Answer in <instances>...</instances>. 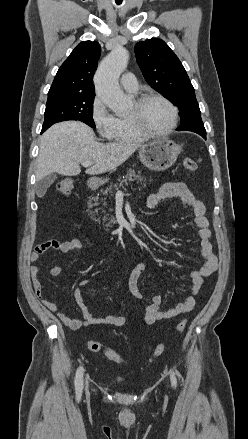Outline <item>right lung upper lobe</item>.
<instances>
[{"mask_svg": "<svg viewBox=\"0 0 248 439\" xmlns=\"http://www.w3.org/2000/svg\"><path fill=\"white\" fill-rule=\"evenodd\" d=\"M101 47L96 41H83L59 68L48 96L68 93H93V75Z\"/></svg>", "mask_w": 248, "mask_h": 439, "instance_id": "obj_1", "label": "right lung upper lobe"}]
</instances>
